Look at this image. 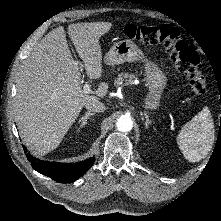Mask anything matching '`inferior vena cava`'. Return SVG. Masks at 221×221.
<instances>
[{
  "instance_id": "obj_1",
  "label": "inferior vena cava",
  "mask_w": 221,
  "mask_h": 221,
  "mask_svg": "<svg viewBox=\"0 0 221 221\" xmlns=\"http://www.w3.org/2000/svg\"><path fill=\"white\" fill-rule=\"evenodd\" d=\"M85 108L91 112H103L106 107L99 100H91L85 104Z\"/></svg>"
}]
</instances>
